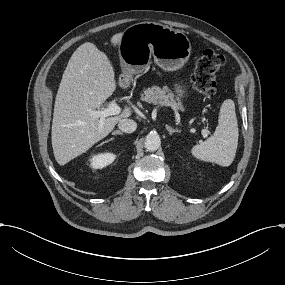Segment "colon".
<instances>
[{
  "mask_svg": "<svg viewBox=\"0 0 285 285\" xmlns=\"http://www.w3.org/2000/svg\"><path fill=\"white\" fill-rule=\"evenodd\" d=\"M223 55L206 49L198 57L192 74V83L195 90L206 97L216 93V73L224 65Z\"/></svg>",
  "mask_w": 285,
  "mask_h": 285,
  "instance_id": "1",
  "label": "colon"
}]
</instances>
